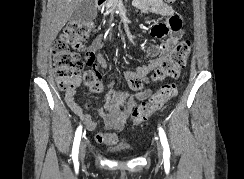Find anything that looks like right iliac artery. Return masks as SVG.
Here are the masks:
<instances>
[{
  "instance_id": "1",
  "label": "right iliac artery",
  "mask_w": 244,
  "mask_h": 179,
  "mask_svg": "<svg viewBox=\"0 0 244 179\" xmlns=\"http://www.w3.org/2000/svg\"><path fill=\"white\" fill-rule=\"evenodd\" d=\"M81 134H82V126L80 125L75 133L74 142H73V148H72V159L74 161L78 160V153H79V145L81 140Z\"/></svg>"
}]
</instances>
